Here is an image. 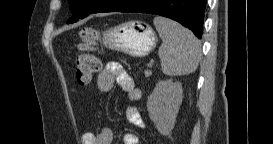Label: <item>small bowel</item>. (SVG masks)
Listing matches in <instances>:
<instances>
[{"label": "small bowel", "mask_w": 273, "mask_h": 144, "mask_svg": "<svg viewBox=\"0 0 273 144\" xmlns=\"http://www.w3.org/2000/svg\"><path fill=\"white\" fill-rule=\"evenodd\" d=\"M115 84H118L127 99L131 102L139 100L141 93L135 86L131 76L118 64H108L99 74L97 80L98 88L103 91H109ZM128 121L138 127L144 128L145 124L138 110L135 107L127 108ZM113 134L110 129L104 128L98 133L85 132L82 135V143L84 144H111ZM123 144H138L139 140L135 133L126 132L122 139Z\"/></svg>", "instance_id": "obj_1"}]
</instances>
